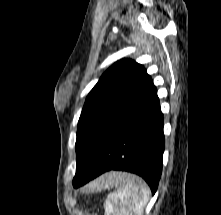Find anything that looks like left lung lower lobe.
Here are the masks:
<instances>
[{"label": "left lung lower lobe", "instance_id": "obj_1", "mask_svg": "<svg viewBox=\"0 0 221 215\" xmlns=\"http://www.w3.org/2000/svg\"><path fill=\"white\" fill-rule=\"evenodd\" d=\"M163 114L153 81L113 122L107 137L87 174L73 186L78 188L110 170L141 176L157 190L165 146Z\"/></svg>", "mask_w": 221, "mask_h": 215}]
</instances>
